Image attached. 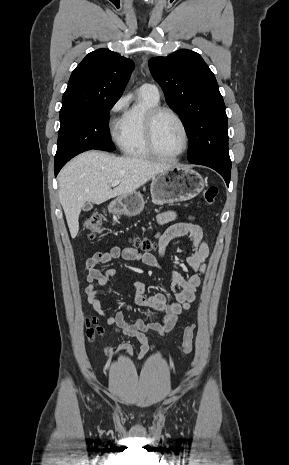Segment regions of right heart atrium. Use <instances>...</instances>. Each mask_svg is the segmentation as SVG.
I'll return each instance as SVG.
<instances>
[{
    "label": "right heart atrium",
    "mask_w": 289,
    "mask_h": 465,
    "mask_svg": "<svg viewBox=\"0 0 289 465\" xmlns=\"http://www.w3.org/2000/svg\"><path fill=\"white\" fill-rule=\"evenodd\" d=\"M128 104V97L127 96H122L120 97L111 107L110 110V131L113 135H117L118 132L120 131V125L121 121H119L116 116L118 113H120L122 110L126 108Z\"/></svg>",
    "instance_id": "right-heart-atrium-1"
}]
</instances>
